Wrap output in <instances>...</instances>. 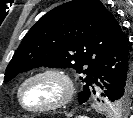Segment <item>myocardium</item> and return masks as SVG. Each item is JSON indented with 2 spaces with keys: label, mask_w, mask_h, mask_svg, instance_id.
I'll return each mask as SVG.
<instances>
[{
  "label": "myocardium",
  "mask_w": 133,
  "mask_h": 118,
  "mask_svg": "<svg viewBox=\"0 0 133 118\" xmlns=\"http://www.w3.org/2000/svg\"><path fill=\"white\" fill-rule=\"evenodd\" d=\"M39 77H49L57 80L62 86V95L61 97L50 104L39 106V107H28L24 104L22 93L25 86L33 79ZM75 84L71 75L64 69L59 67H45L38 70H35L29 73L20 83L17 90V99L20 106L27 112L31 113H45L60 109L67 104H69L75 95Z\"/></svg>",
  "instance_id": "obj_1"
}]
</instances>
